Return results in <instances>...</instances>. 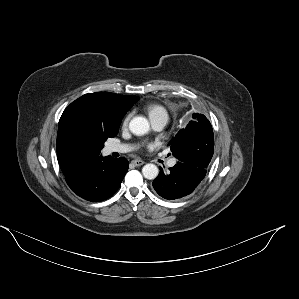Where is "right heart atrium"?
Masks as SVG:
<instances>
[{
  "instance_id": "right-heart-atrium-1",
  "label": "right heart atrium",
  "mask_w": 299,
  "mask_h": 299,
  "mask_svg": "<svg viewBox=\"0 0 299 299\" xmlns=\"http://www.w3.org/2000/svg\"><path fill=\"white\" fill-rule=\"evenodd\" d=\"M129 115H127L125 118H124V120H123V124H126L127 122H128V120H129Z\"/></svg>"
}]
</instances>
